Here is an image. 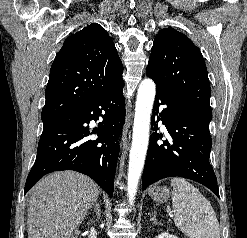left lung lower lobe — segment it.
Instances as JSON below:
<instances>
[{
	"label": "left lung lower lobe",
	"instance_id": "0a47b994",
	"mask_svg": "<svg viewBox=\"0 0 247 238\" xmlns=\"http://www.w3.org/2000/svg\"><path fill=\"white\" fill-rule=\"evenodd\" d=\"M160 105L165 108L153 121V129L162 120L172 141L158 144L161 134L153 133L145 161L142 189L167 177H183L199 182L219 197L217 179L209 163L212 139L209 133L211 120L193 108L175 101L157 88L153 117Z\"/></svg>",
	"mask_w": 247,
	"mask_h": 238
}]
</instances>
